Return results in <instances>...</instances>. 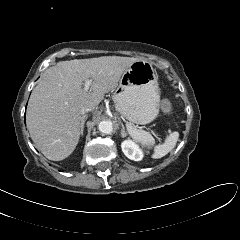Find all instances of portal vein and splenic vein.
I'll use <instances>...</instances> for the list:
<instances>
[{
	"mask_svg": "<svg viewBox=\"0 0 240 240\" xmlns=\"http://www.w3.org/2000/svg\"><path fill=\"white\" fill-rule=\"evenodd\" d=\"M91 84H92V80L87 79V80L85 81L83 90H84L85 92H87V91L89 90Z\"/></svg>",
	"mask_w": 240,
	"mask_h": 240,
	"instance_id": "18ae733b",
	"label": "portal vein and splenic vein"
}]
</instances>
